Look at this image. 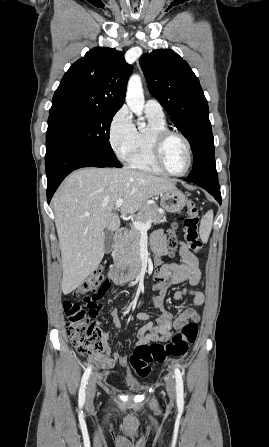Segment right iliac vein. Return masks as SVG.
Instances as JSON below:
<instances>
[{"label":"right iliac vein","mask_w":269,"mask_h":447,"mask_svg":"<svg viewBox=\"0 0 269 447\" xmlns=\"http://www.w3.org/2000/svg\"><path fill=\"white\" fill-rule=\"evenodd\" d=\"M96 381L97 377L95 375L91 376L88 380L87 391H86L88 404H90L94 400L96 392Z\"/></svg>","instance_id":"63e3f726"}]
</instances>
